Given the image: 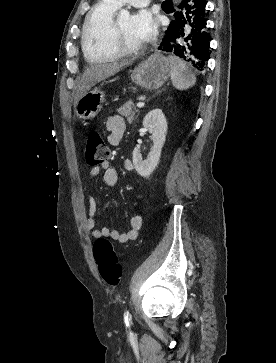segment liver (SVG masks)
I'll return each mask as SVG.
<instances>
[{
  "label": "liver",
  "instance_id": "6515ba94",
  "mask_svg": "<svg viewBox=\"0 0 276 363\" xmlns=\"http://www.w3.org/2000/svg\"><path fill=\"white\" fill-rule=\"evenodd\" d=\"M129 62H113L105 64L92 65L84 71L74 98V106H76L78 99L90 90L95 84L105 80L118 73L123 67L127 66Z\"/></svg>",
  "mask_w": 276,
  "mask_h": 363
}]
</instances>
